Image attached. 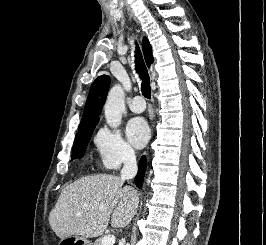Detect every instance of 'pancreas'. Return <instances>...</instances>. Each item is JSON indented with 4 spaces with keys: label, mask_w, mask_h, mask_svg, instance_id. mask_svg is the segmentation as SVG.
Returning a JSON list of instances; mask_svg holds the SVG:
<instances>
[{
    "label": "pancreas",
    "mask_w": 266,
    "mask_h": 245,
    "mask_svg": "<svg viewBox=\"0 0 266 245\" xmlns=\"http://www.w3.org/2000/svg\"><path fill=\"white\" fill-rule=\"evenodd\" d=\"M94 245H101V239H97V241H95Z\"/></svg>",
    "instance_id": "cf45deb5"
}]
</instances>
